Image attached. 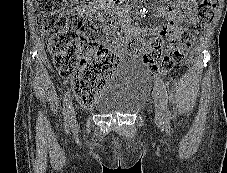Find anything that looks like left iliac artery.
I'll use <instances>...</instances> for the list:
<instances>
[{
  "instance_id": "left-iliac-artery-1",
  "label": "left iliac artery",
  "mask_w": 227,
  "mask_h": 173,
  "mask_svg": "<svg viewBox=\"0 0 227 173\" xmlns=\"http://www.w3.org/2000/svg\"><path fill=\"white\" fill-rule=\"evenodd\" d=\"M156 82H155V89L158 90L160 96L162 97V101H163V108H164V112H165V124L169 125V121H170V111L168 109V93H167V89L166 86L164 84V82L162 81V79H160L159 77L155 78Z\"/></svg>"
}]
</instances>
